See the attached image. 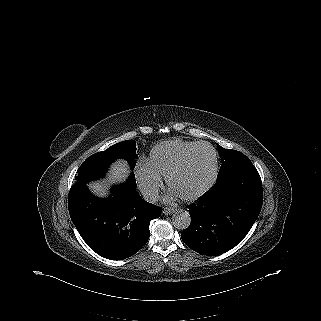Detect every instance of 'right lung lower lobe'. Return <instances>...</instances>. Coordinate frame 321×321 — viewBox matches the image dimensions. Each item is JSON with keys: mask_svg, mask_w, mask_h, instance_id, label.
Here are the masks:
<instances>
[{"mask_svg": "<svg viewBox=\"0 0 321 321\" xmlns=\"http://www.w3.org/2000/svg\"><path fill=\"white\" fill-rule=\"evenodd\" d=\"M68 208L86 244L111 260L137 253L149 239L150 221L162 213V208L146 202L125 185L115 186L106 199L92 195L86 186H72Z\"/></svg>", "mask_w": 321, "mask_h": 321, "instance_id": "obj_1", "label": "right lung lower lobe"}]
</instances>
